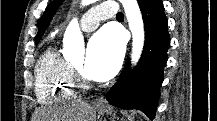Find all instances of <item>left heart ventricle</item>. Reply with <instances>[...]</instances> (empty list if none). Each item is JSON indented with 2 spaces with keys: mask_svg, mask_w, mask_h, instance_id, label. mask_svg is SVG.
Listing matches in <instances>:
<instances>
[{
  "mask_svg": "<svg viewBox=\"0 0 217 121\" xmlns=\"http://www.w3.org/2000/svg\"><path fill=\"white\" fill-rule=\"evenodd\" d=\"M76 68L82 70L83 72L85 71V61L84 60H80L79 62H76L73 64Z\"/></svg>",
  "mask_w": 217,
  "mask_h": 121,
  "instance_id": "b2bd125f",
  "label": "left heart ventricle"
}]
</instances>
